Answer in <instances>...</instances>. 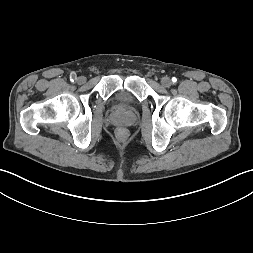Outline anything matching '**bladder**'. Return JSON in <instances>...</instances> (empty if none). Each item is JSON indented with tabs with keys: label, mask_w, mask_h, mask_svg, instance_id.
<instances>
[{
	"label": "bladder",
	"mask_w": 253,
	"mask_h": 253,
	"mask_svg": "<svg viewBox=\"0 0 253 253\" xmlns=\"http://www.w3.org/2000/svg\"><path fill=\"white\" fill-rule=\"evenodd\" d=\"M114 99L117 103L125 104L129 103L132 100V97L127 91L121 90L115 94Z\"/></svg>",
	"instance_id": "31cf9c89"
}]
</instances>
